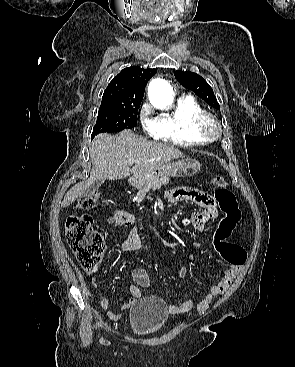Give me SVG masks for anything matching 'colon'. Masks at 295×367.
<instances>
[{"label": "colon", "mask_w": 295, "mask_h": 367, "mask_svg": "<svg viewBox=\"0 0 295 367\" xmlns=\"http://www.w3.org/2000/svg\"><path fill=\"white\" fill-rule=\"evenodd\" d=\"M215 190L212 192L224 213L217 232L218 249L223 258L231 265H242L246 260L245 250L234 243L225 240L231 236L236 228L241 212L234 194L228 189L222 177L212 180ZM98 194L92 193L82 196L77 201L80 209H91L97 205ZM94 219L89 214H71L66 220V239L73 250L81 267L92 272L96 270L104 251L102 236L94 230Z\"/></svg>", "instance_id": "1"}]
</instances>
